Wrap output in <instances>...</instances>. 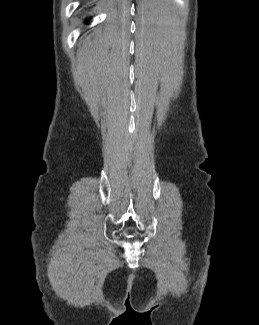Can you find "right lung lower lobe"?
Masks as SVG:
<instances>
[{
  "instance_id": "1",
  "label": "right lung lower lobe",
  "mask_w": 259,
  "mask_h": 325,
  "mask_svg": "<svg viewBox=\"0 0 259 325\" xmlns=\"http://www.w3.org/2000/svg\"><path fill=\"white\" fill-rule=\"evenodd\" d=\"M90 19H86L85 22L88 23Z\"/></svg>"
}]
</instances>
